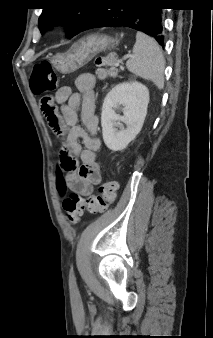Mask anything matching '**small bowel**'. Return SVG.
<instances>
[{
    "label": "small bowel",
    "mask_w": 213,
    "mask_h": 338,
    "mask_svg": "<svg viewBox=\"0 0 213 338\" xmlns=\"http://www.w3.org/2000/svg\"><path fill=\"white\" fill-rule=\"evenodd\" d=\"M96 78L90 73L80 74L75 79L77 92L69 86L57 90L53 106L57 105L55 114L64 131L63 145L70 156L81 161V167L67 172L69 189L83 197L93 193V185L100 181V169L96 160V152L100 141L96 136L98 118L95 113L94 89ZM81 120L83 125L78 124ZM80 140L82 143H80Z\"/></svg>",
    "instance_id": "1"
}]
</instances>
